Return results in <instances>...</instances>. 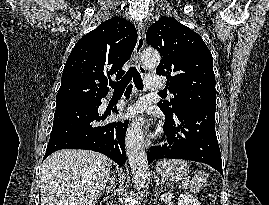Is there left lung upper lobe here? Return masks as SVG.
<instances>
[{"label": "left lung upper lobe", "instance_id": "1", "mask_svg": "<svg viewBox=\"0 0 269 205\" xmlns=\"http://www.w3.org/2000/svg\"><path fill=\"white\" fill-rule=\"evenodd\" d=\"M146 41L159 51L156 73L167 77L174 95L170 102H159L160 109L172 114L196 105L216 107L213 58L199 34L163 16L148 28Z\"/></svg>", "mask_w": 269, "mask_h": 205}]
</instances>
